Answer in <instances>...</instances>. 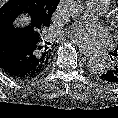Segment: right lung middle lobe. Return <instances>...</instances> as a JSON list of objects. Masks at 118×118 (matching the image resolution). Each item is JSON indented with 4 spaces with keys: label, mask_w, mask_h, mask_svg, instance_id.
I'll return each instance as SVG.
<instances>
[{
    "label": "right lung middle lobe",
    "mask_w": 118,
    "mask_h": 118,
    "mask_svg": "<svg viewBox=\"0 0 118 118\" xmlns=\"http://www.w3.org/2000/svg\"><path fill=\"white\" fill-rule=\"evenodd\" d=\"M58 3L56 0H9L0 8V25H12V21L22 13L31 16L27 30L50 25Z\"/></svg>",
    "instance_id": "dd1d6c3e"
}]
</instances>
